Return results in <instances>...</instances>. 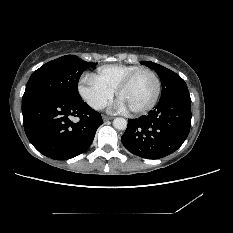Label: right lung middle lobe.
Instances as JSON below:
<instances>
[{"label":"right lung middle lobe","instance_id":"obj_1","mask_svg":"<svg viewBox=\"0 0 233 233\" xmlns=\"http://www.w3.org/2000/svg\"><path fill=\"white\" fill-rule=\"evenodd\" d=\"M93 65L95 63L83 61L75 55L62 56L44 64L31 75L22 102L44 95L81 99L77 89L79 78Z\"/></svg>","mask_w":233,"mask_h":233}]
</instances>
